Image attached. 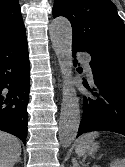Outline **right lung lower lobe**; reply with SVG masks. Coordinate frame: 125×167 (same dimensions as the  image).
Listing matches in <instances>:
<instances>
[{
    "label": "right lung lower lobe",
    "instance_id": "obj_1",
    "mask_svg": "<svg viewBox=\"0 0 125 167\" xmlns=\"http://www.w3.org/2000/svg\"><path fill=\"white\" fill-rule=\"evenodd\" d=\"M30 65L26 35L0 42V130L27 137Z\"/></svg>",
    "mask_w": 125,
    "mask_h": 167
}]
</instances>
